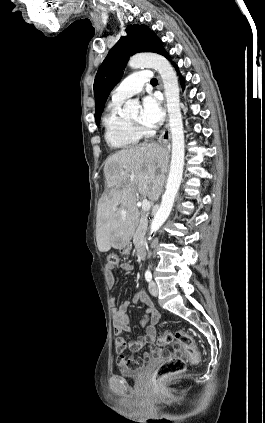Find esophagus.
<instances>
[{"instance_id":"esophagus-1","label":"esophagus","mask_w":265,"mask_h":423,"mask_svg":"<svg viewBox=\"0 0 265 423\" xmlns=\"http://www.w3.org/2000/svg\"><path fill=\"white\" fill-rule=\"evenodd\" d=\"M158 80H159V87L162 89L163 87H162V81H161L160 77H158ZM170 139H171V131H170L169 120H168V117H167L165 128L161 132L158 140H159L160 143L167 144V143H169Z\"/></svg>"}]
</instances>
